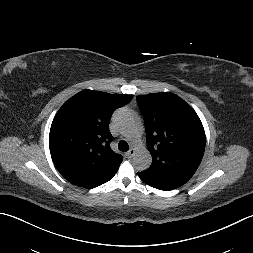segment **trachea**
I'll return each mask as SVG.
<instances>
[{
	"label": "trachea",
	"instance_id": "trachea-1",
	"mask_svg": "<svg viewBox=\"0 0 253 253\" xmlns=\"http://www.w3.org/2000/svg\"><path fill=\"white\" fill-rule=\"evenodd\" d=\"M118 149L122 152H126L129 150V145L126 141H120L118 144Z\"/></svg>",
	"mask_w": 253,
	"mask_h": 253
}]
</instances>
